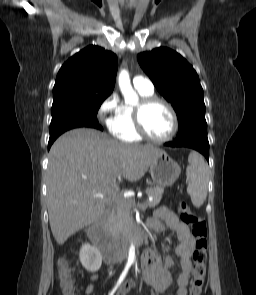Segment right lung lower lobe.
<instances>
[{"instance_id":"98d812e1","label":"right lung lower lobe","mask_w":256,"mask_h":295,"mask_svg":"<svg viewBox=\"0 0 256 295\" xmlns=\"http://www.w3.org/2000/svg\"><path fill=\"white\" fill-rule=\"evenodd\" d=\"M77 127H91V128H96L99 130H103V128L98 124L97 119H91V120H86L80 123H72V124H66V125H61L54 127L50 129V138H49V143H48V150L51 147L52 143L55 141V139L64 133L67 130L77 128Z\"/></svg>"}]
</instances>
